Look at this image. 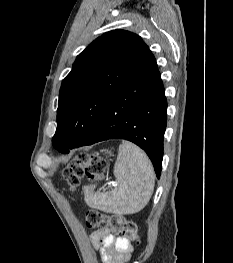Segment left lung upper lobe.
<instances>
[{
    "instance_id": "obj_1",
    "label": "left lung upper lobe",
    "mask_w": 233,
    "mask_h": 263,
    "mask_svg": "<svg viewBox=\"0 0 233 263\" xmlns=\"http://www.w3.org/2000/svg\"><path fill=\"white\" fill-rule=\"evenodd\" d=\"M148 50L140 36L125 30L94 40L62 81L53 138L83 142Z\"/></svg>"
}]
</instances>
